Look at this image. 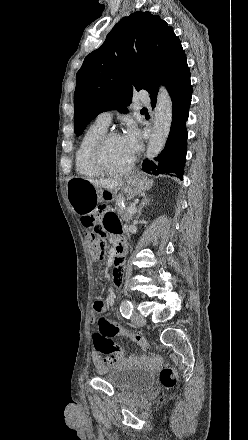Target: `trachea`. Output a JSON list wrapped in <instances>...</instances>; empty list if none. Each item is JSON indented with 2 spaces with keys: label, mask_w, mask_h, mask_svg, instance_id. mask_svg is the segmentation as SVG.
<instances>
[{
  "label": "trachea",
  "mask_w": 248,
  "mask_h": 440,
  "mask_svg": "<svg viewBox=\"0 0 248 440\" xmlns=\"http://www.w3.org/2000/svg\"><path fill=\"white\" fill-rule=\"evenodd\" d=\"M142 111H146V108H142Z\"/></svg>",
  "instance_id": "trachea-1"
}]
</instances>
